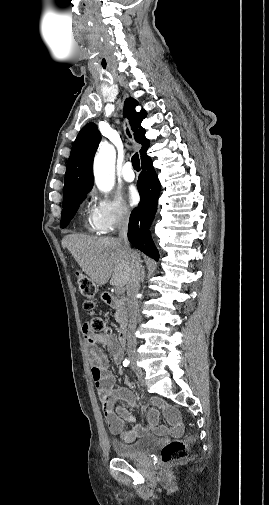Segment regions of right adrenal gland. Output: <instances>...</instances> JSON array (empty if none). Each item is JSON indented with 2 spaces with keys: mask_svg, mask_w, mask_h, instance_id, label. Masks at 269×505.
<instances>
[{
  "mask_svg": "<svg viewBox=\"0 0 269 505\" xmlns=\"http://www.w3.org/2000/svg\"><path fill=\"white\" fill-rule=\"evenodd\" d=\"M144 277H145V270H144V268H143V270H142V277H141V280H142V281H143Z\"/></svg>",
  "mask_w": 269,
  "mask_h": 505,
  "instance_id": "1",
  "label": "right adrenal gland"
}]
</instances>
